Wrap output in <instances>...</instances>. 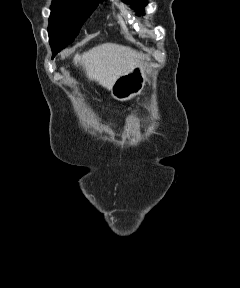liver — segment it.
I'll return each instance as SVG.
<instances>
[{
    "mask_svg": "<svg viewBox=\"0 0 240 288\" xmlns=\"http://www.w3.org/2000/svg\"><path fill=\"white\" fill-rule=\"evenodd\" d=\"M142 57L129 47L104 43L82 55L76 54L74 64L83 67L89 80L111 90L115 81L138 65Z\"/></svg>",
    "mask_w": 240,
    "mask_h": 288,
    "instance_id": "6515ba94",
    "label": "liver"
}]
</instances>
